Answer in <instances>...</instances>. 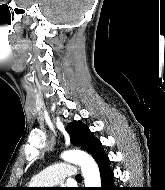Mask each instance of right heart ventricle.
<instances>
[{
  "label": "right heart ventricle",
  "mask_w": 165,
  "mask_h": 190,
  "mask_svg": "<svg viewBox=\"0 0 165 190\" xmlns=\"http://www.w3.org/2000/svg\"><path fill=\"white\" fill-rule=\"evenodd\" d=\"M29 186L30 187H35L36 185L33 182H30Z\"/></svg>",
  "instance_id": "e07e8e85"
}]
</instances>
